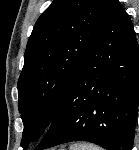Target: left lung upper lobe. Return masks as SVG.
Instances as JSON below:
<instances>
[{
	"label": "left lung upper lobe",
	"mask_w": 139,
	"mask_h": 150,
	"mask_svg": "<svg viewBox=\"0 0 139 150\" xmlns=\"http://www.w3.org/2000/svg\"><path fill=\"white\" fill-rule=\"evenodd\" d=\"M115 1L54 0L38 18L17 84L23 148L36 141L53 119Z\"/></svg>",
	"instance_id": "obj_1"
}]
</instances>
